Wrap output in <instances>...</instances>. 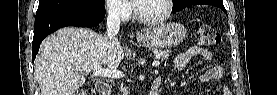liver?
<instances>
[{"mask_svg": "<svg viewBox=\"0 0 277 95\" xmlns=\"http://www.w3.org/2000/svg\"><path fill=\"white\" fill-rule=\"evenodd\" d=\"M124 58L118 41L88 28L66 27L45 38L35 60V79L41 95H75L85 83L84 74L96 65L115 68Z\"/></svg>", "mask_w": 277, "mask_h": 95, "instance_id": "liver-1", "label": "liver"}]
</instances>
